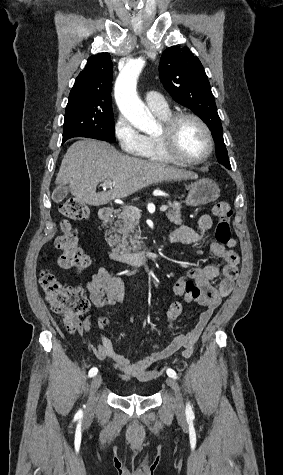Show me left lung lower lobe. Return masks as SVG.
<instances>
[{
  "label": "left lung lower lobe",
  "mask_w": 283,
  "mask_h": 475,
  "mask_svg": "<svg viewBox=\"0 0 283 475\" xmlns=\"http://www.w3.org/2000/svg\"><path fill=\"white\" fill-rule=\"evenodd\" d=\"M215 145H216V155L218 162L224 165L226 168L231 169L230 162L228 159V153L224 144L223 134H212Z\"/></svg>",
  "instance_id": "left-lung-lower-lobe-1"
}]
</instances>
